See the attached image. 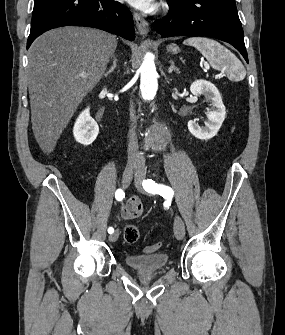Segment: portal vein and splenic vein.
Segmentation results:
<instances>
[{"instance_id":"18ae733b","label":"portal vein and splenic vein","mask_w":285,"mask_h":335,"mask_svg":"<svg viewBox=\"0 0 285 335\" xmlns=\"http://www.w3.org/2000/svg\"><path fill=\"white\" fill-rule=\"evenodd\" d=\"M81 78H87L86 74H82Z\"/></svg>"}]
</instances>
